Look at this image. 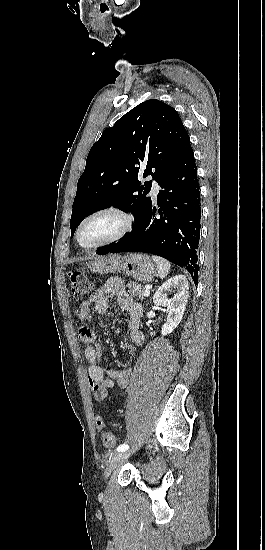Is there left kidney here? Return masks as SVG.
Masks as SVG:
<instances>
[{
	"mask_svg": "<svg viewBox=\"0 0 265 550\" xmlns=\"http://www.w3.org/2000/svg\"><path fill=\"white\" fill-rule=\"evenodd\" d=\"M173 289L176 293L172 299H168L167 293ZM188 289V281L183 275H176L157 289L153 297V303L156 306L166 307L168 313L167 321L161 330L163 336L173 332L181 322L187 304ZM150 335H154V332H151Z\"/></svg>",
	"mask_w": 265,
	"mask_h": 550,
	"instance_id": "1",
	"label": "left kidney"
}]
</instances>
